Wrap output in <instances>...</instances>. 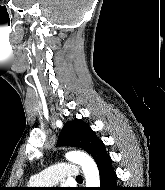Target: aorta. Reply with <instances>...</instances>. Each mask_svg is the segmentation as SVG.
<instances>
[{"mask_svg": "<svg viewBox=\"0 0 165 190\" xmlns=\"http://www.w3.org/2000/svg\"><path fill=\"white\" fill-rule=\"evenodd\" d=\"M66 158L74 163L81 165L87 187H99V171L94 160L86 153L73 151L66 154Z\"/></svg>", "mask_w": 165, "mask_h": 190, "instance_id": "1", "label": "aorta"}]
</instances>
